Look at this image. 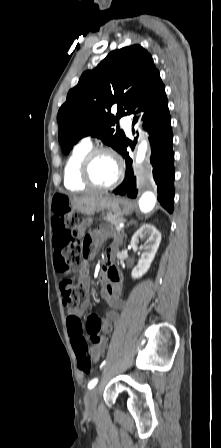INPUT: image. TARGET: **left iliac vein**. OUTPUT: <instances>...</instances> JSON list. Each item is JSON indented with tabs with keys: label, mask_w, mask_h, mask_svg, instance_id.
<instances>
[{
	"label": "left iliac vein",
	"mask_w": 221,
	"mask_h": 448,
	"mask_svg": "<svg viewBox=\"0 0 221 448\" xmlns=\"http://www.w3.org/2000/svg\"><path fill=\"white\" fill-rule=\"evenodd\" d=\"M85 409L87 412H94L97 406V388L89 389L84 398Z\"/></svg>",
	"instance_id": "obj_1"
}]
</instances>
